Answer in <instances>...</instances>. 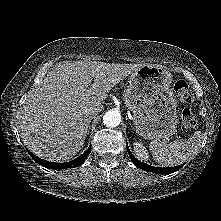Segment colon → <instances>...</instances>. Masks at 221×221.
Masks as SVG:
<instances>
[{"label":"colon","instance_id":"1","mask_svg":"<svg viewBox=\"0 0 221 221\" xmlns=\"http://www.w3.org/2000/svg\"><path fill=\"white\" fill-rule=\"evenodd\" d=\"M174 92L178 99L184 103H190L193 100L191 89L189 85L183 80H178L175 83ZM181 121L183 125L188 128L194 127L196 125V117L188 108L182 110Z\"/></svg>","mask_w":221,"mask_h":221}]
</instances>
